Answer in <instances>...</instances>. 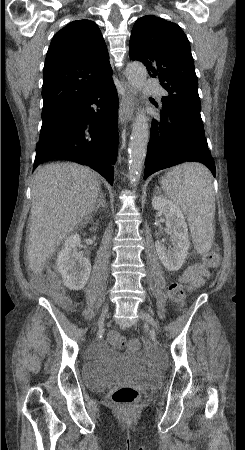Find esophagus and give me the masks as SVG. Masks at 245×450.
I'll use <instances>...</instances> for the list:
<instances>
[{
    "label": "esophagus",
    "mask_w": 245,
    "mask_h": 450,
    "mask_svg": "<svg viewBox=\"0 0 245 450\" xmlns=\"http://www.w3.org/2000/svg\"><path fill=\"white\" fill-rule=\"evenodd\" d=\"M134 101H135L134 91L130 88V86L126 82H124L123 94L120 99V109H119V121L121 125L132 120L134 113Z\"/></svg>",
    "instance_id": "1"
}]
</instances>
